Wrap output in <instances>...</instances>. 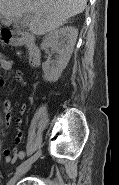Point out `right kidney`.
Here are the masks:
<instances>
[{
  "label": "right kidney",
  "mask_w": 119,
  "mask_h": 185,
  "mask_svg": "<svg viewBox=\"0 0 119 185\" xmlns=\"http://www.w3.org/2000/svg\"><path fill=\"white\" fill-rule=\"evenodd\" d=\"M77 36L78 30L72 26L56 29L45 36L41 48H51L57 53L56 60L42 64L45 81L56 82L59 79L70 60Z\"/></svg>",
  "instance_id": "right-kidney-1"
}]
</instances>
